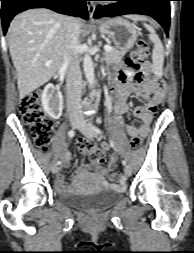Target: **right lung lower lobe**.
Returning a JSON list of instances; mask_svg holds the SVG:
<instances>
[{"instance_id": "right-lung-lower-lobe-1", "label": "right lung lower lobe", "mask_w": 194, "mask_h": 253, "mask_svg": "<svg viewBox=\"0 0 194 253\" xmlns=\"http://www.w3.org/2000/svg\"><path fill=\"white\" fill-rule=\"evenodd\" d=\"M2 1V26L6 34L12 18L27 9L48 8L61 14L88 18L87 0H0Z\"/></svg>"}]
</instances>
